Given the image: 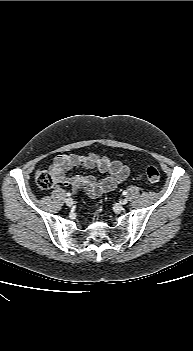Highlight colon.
Listing matches in <instances>:
<instances>
[{"instance_id":"obj_1","label":"colon","mask_w":193,"mask_h":351,"mask_svg":"<svg viewBox=\"0 0 193 351\" xmlns=\"http://www.w3.org/2000/svg\"><path fill=\"white\" fill-rule=\"evenodd\" d=\"M146 178L149 182L156 183L160 179V172L157 167L149 166L146 169ZM37 187L41 190H49L55 186L53 177L47 171H37L34 176ZM82 188L83 185H78Z\"/></svg>"}]
</instances>
